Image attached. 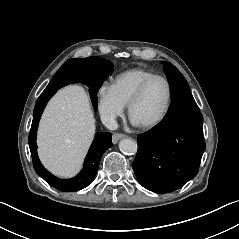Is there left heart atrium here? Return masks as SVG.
I'll use <instances>...</instances> for the list:
<instances>
[{
  "mask_svg": "<svg viewBox=\"0 0 239 239\" xmlns=\"http://www.w3.org/2000/svg\"><path fill=\"white\" fill-rule=\"evenodd\" d=\"M132 122H133V124H135V125L138 124L134 119H132Z\"/></svg>",
  "mask_w": 239,
  "mask_h": 239,
  "instance_id": "obj_1",
  "label": "left heart atrium"
}]
</instances>
